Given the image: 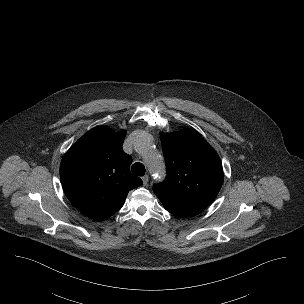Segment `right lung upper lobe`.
<instances>
[{
    "label": "right lung upper lobe",
    "mask_w": 304,
    "mask_h": 304,
    "mask_svg": "<svg viewBox=\"0 0 304 304\" xmlns=\"http://www.w3.org/2000/svg\"><path fill=\"white\" fill-rule=\"evenodd\" d=\"M126 132L106 126L92 129L67 151L60 165L63 188L88 217L104 220L123 205L128 192L142 184L130 173V155L122 149Z\"/></svg>",
    "instance_id": "cb5924a9"
}]
</instances>
